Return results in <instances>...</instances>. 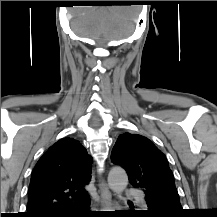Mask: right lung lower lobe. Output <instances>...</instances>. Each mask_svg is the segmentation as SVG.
I'll list each match as a JSON object with an SVG mask.
<instances>
[{
	"label": "right lung lower lobe",
	"mask_w": 217,
	"mask_h": 217,
	"mask_svg": "<svg viewBox=\"0 0 217 217\" xmlns=\"http://www.w3.org/2000/svg\"><path fill=\"white\" fill-rule=\"evenodd\" d=\"M90 204V199L80 205H77L70 209L62 210L54 215H51L49 217H91L92 214H90V211H87ZM102 216H108V215H102Z\"/></svg>",
	"instance_id": "obj_1"
}]
</instances>
